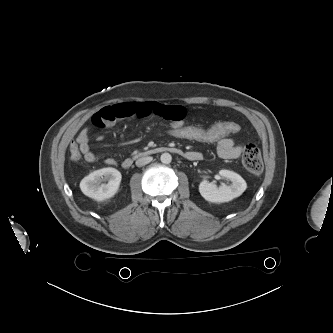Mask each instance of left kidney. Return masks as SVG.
<instances>
[{
	"instance_id": "1",
	"label": "left kidney",
	"mask_w": 333,
	"mask_h": 333,
	"mask_svg": "<svg viewBox=\"0 0 333 333\" xmlns=\"http://www.w3.org/2000/svg\"><path fill=\"white\" fill-rule=\"evenodd\" d=\"M219 175L231 183L218 187L214 183L202 181L199 185V192L205 200L213 203L228 202L239 197L246 190L247 184L239 174L230 170H220Z\"/></svg>"
}]
</instances>
